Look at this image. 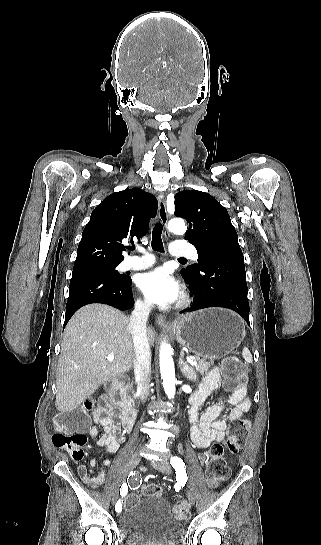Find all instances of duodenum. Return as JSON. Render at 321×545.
Masks as SVG:
<instances>
[{"mask_svg":"<svg viewBox=\"0 0 321 545\" xmlns=\"http://www.w3.org/2000/svg\"><path fill=\"white\" fill-rule=\"evenodd\" d=\"M108 399L120 409L121 425L124 430L131 431L136 419V409L128 400L122 383L113 382L107 385Z\"/></svg>","mask_w":321,"mask_h":545,"instance_id":"duodenum-1","label":"duodenum"}]
</instances>
